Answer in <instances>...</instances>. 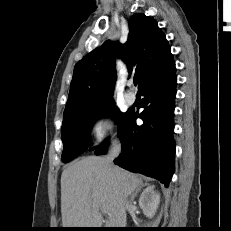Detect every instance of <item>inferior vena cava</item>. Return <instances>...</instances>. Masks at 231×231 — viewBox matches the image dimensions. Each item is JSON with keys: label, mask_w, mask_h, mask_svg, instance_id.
I'll use <instances>...</instances> for the list:
<instances>
[{"label": "inferior vena cava", "mask_w": 231, "mask_h": 231, "mask_svg": "<svg viewBox=\"0 0 231 231\" xmlns=\"http://www.w3.org/2000/svg\"><path fill=\"white\" fill-rule=\"evenodd\" d=\"M121 152V145L117 138L111 140V145L106 157V162L108 164H112L113 160L120 154Z\"/></svg>", "instance_id": "obj_1"}]
</instances>
